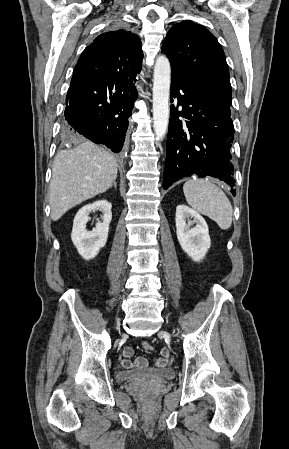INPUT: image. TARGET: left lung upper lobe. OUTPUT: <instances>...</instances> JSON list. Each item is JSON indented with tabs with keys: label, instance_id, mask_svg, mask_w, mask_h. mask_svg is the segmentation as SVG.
Returning <instances> with one entry per match:
<instances>
[{
	"label": "left lung upper lobe",
	"instance_id": "left-lung-upper-lobe-1",
	"mask_svg": "<svg viewBox=\"0 0 289 449\" xmlns=\"http://www.w3.org/2000/svg\"><path fill=\"white\" fill-rule=\"evenodd\" d=\"M161 50L169 58L171 74L191 77L230 108L231 85L225 54L206 28L182 21L168 31Z\"/></svg>",
	"mask_w": 289,
	"mask_h": 449
}]
</instances>
